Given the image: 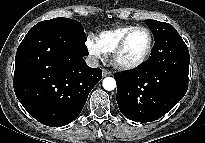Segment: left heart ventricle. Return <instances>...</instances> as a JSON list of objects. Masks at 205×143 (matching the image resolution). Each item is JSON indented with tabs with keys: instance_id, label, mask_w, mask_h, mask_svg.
I'll list each match as a JSON object with an SVG mask.
<instances>
[{
	"instance_id": "b2bd125f",
	"label": "left heart ventricle",
	"mask_w": 205,
	"mask_h": 143,
	"mask_svg": "<svg viewBox=\"0 0 205 143\" xmlns=\"http://www.w3.org/2000/svg\"><path fill=\"white\" fill-rule=\"evenodd\" d=\"M149 43L146 31L136 30L129 37L123 52L119 56L122 63H133L138 61L145 53Z\"/></svg>"
}]
</instances>
